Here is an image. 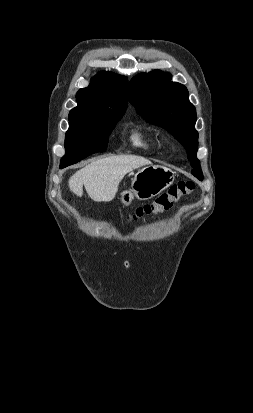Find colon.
Listing matches in <instances>:
<instances>
[{"label": "colon", "mask_w": 253, "mask_h": 413, "mask_svg": "<svg viewBox=\"0 0 253 413\" xmlns=\"http://www.w3.org/2000/svg\"><path fill=\"white\" fill-rule=\"evenodd\" d=\"M194 189L195 183L193 181L177 182L152 203L137 208L133 214L127 216V220L128 222H137L141 219L153 217L171 208L181 197L190 195Z\"/></svg>", "instance_id": "colon-1"}]
</instances>
